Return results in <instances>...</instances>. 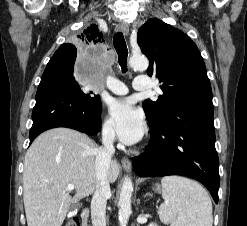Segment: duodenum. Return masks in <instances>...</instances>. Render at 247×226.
<instances>
[{
  "mask_svg": "<svg viewBox=\"0 0 247 226\" xmlns=\"http://www.w3.org/2000/svg\"><path fill=\"white\" fill-rule=\"evenodd\" d=\"M89 214H90V211H89L88 208H83L81 210L80 217H81V225L82 226H87L88 219H89Z\"/></svg>",
  "mask_w": 247,
  "mask_h": 226,
  "instance_id": "duodenum-1",
  "label": "duodenum"
}]
</instances>
